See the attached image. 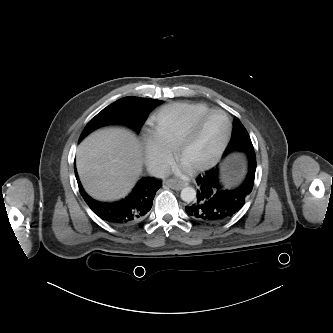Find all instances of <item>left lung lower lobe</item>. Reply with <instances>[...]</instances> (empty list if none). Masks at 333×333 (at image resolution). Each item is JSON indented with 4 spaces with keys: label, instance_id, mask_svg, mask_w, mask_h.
Segmentation results:
<instances>
[{
    "label": "left lung lower lobe",
    "instance_id": "obj_1",
    "mask_svg": "<svg viewBox=\"0 0 333 333\" xmlns=\"http://www.w3.org/2000/svg\"><path fill=\"white\" fill-rule=\"evenodd\" d=\"M248 161V174L245 181L232 190L225 189L219 182V167L199 175L196 179L197 200L185 207L186 212L201 222L216 223L232 217L244 205L254 185L256 171L255 154H245Z\"/></svg>",
    "mask_w": 333,
    "mask_h": 333
}]
</instances>
